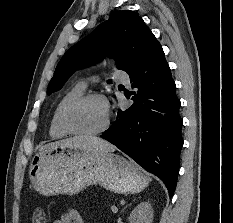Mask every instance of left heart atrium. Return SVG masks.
Instances as JSON below:
<instances>
[{
  "instance_id": "left-heart-atrium-1",
  "label": "left heart atrium",
  "mask_w": 233,
  "mask_h": 223,
  "mask_svg": "<svg viewBox=\"0 0 233 223\" xmlns=\"http://www.w3.org/2000/svg\"><path fill=\"white\" fill-rule=\"evenodd\" d=\"M103 110L105 115L108 117L109 116V112H110V105L108 103V101L103 100Z\"/></svg>"
}]
</instances>
